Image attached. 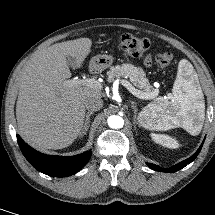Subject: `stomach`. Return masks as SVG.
<instances>
[{
	"mask_svg": "<svg viewBox=\"0 0 215 215\" xmlns=\"http://www.w3.org/2000/svg\"><path fill=\"white\" fill-rule=\"evenodd\" d=\"M112 63H113L112 55H96L91 59V66L96 70H104L110 67ZM138 122L141 126L147 128L146 122L141 121L139 118Z\"/></svg>",
	"mask_w": 215,
	"mask_h": 215,
	"instance_id": "obj_1",
	"label": "stomach"
}]
</instances>
